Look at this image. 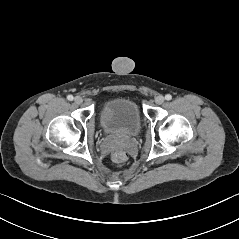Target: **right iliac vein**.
<instances>
[{
  "instance_id": "right-iliac-vein-1",
  "label": "right iliac vein",
  "mask_w": 239,
  "mask_h": 239,
  "mask_svg": "<svg viewBox=\"0 0 239 239\" xmlns=\"http://www.w3.org/2000/svg\"><path fill=\"white\" fill-rule=\"evenodd\" d=\"M74 102H75L76 104H81V103L83 102V99H82V97H80V96H76V97L74 98Z\"/></svg>"
}]
</instances>
